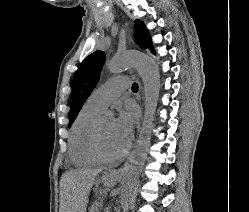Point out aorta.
<instances>
[{
    "label": "aorta",
    "mask_w": 249,
    "mask_h": 212,
    "mask_svg": "<svg viewBox=\"0 0 249 212\" xmlns=\"http://www.w3.org/2000/svg\"><path fill=\"white\" fill-rule=\"evenodd\" d=\"M131 67L136 68L143 81L145 111L137 145L129 156V162L124 167L122 174L120 203L123 212L127 211L131 200L134 198L137 180L148 155L160 92L159 69L154 59L150 56L139 51H129L116 55L108 64V68L112 73H119Z\"/></svg>",
    "instance_id": "1"
}]
</instances>
